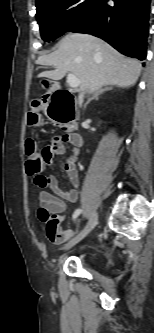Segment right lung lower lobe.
<instances>
[{
	"label": "right lung lower lobe",
	"mask_w": 154,
	"mask_h": 333,
	"mask_svg": "<svg viewBox=\"0 0 154 333\" xmlns=\"http://www.w3.org/2000/svg\"><path fill=\"white\" fill-rule=\"evenodd\" d=\"M113 2L98 0L87 18L69 31L97 36L124 55L144 60L151 0Z\"/></svg>",
	"instance_id": "right-lung-lower-lobe-1"
}]
</instances>
